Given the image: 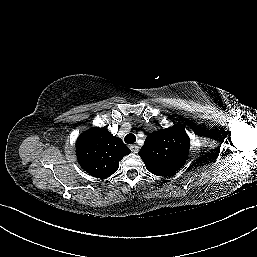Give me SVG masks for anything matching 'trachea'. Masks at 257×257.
Instances as JSON below:
<instances>
[{"label": "trachea", "instance_id": "trachea-1", "mask_svg": "<svg viewBox=\"0 0 257 257\" xmlns=\"http://www.w3.org/2000/svg\"><path fill=\"white\" fill-rule=\"evenodd\" d=\"M124 141L127 144H133L136 141V136L132 133H129L125 136Z\"/></svg>", "mask_w": 257, "mask_h": 257}]
</instances>
